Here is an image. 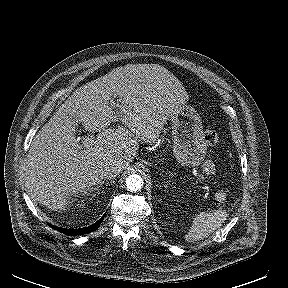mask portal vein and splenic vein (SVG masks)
Segmentation results:
<instances>
[{
  "label": "portal vein and splenic vein",
  "instance_id": "18ae733b",
  "mask_svg": "<svg viewBox=\"0 0 288 288\" xmlns=\"http://www.w3.org/2000/svg\"><path fill=\"white\" fill-rule=\"evenodd\" d=\"M204 171L207 172V169H204ZM197 176L200 178L202 184L206 185L204 175L201 173H197Z\"/></svg>",
  "mask_w": 288,
  "mask_h": 288
}]
</instances>
